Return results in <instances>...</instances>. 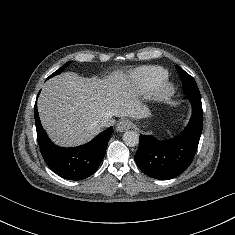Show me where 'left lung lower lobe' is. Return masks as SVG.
<instances>
[{
  "label": "left lung lower lobe",
  "instance_id": "0a47b994",
  "mask_svg": "<svg viewBox=\"0 0 235 235\" xmlns=\"http://www.w3.org/2000/svg\"><path fill=\"white\" fill-rule=\"evenodd\" d=\"M185 99L192 105V116L181 135L159 141L153 136L141 135L134 156L138 167L148 176L168 180L184 172L196 153L203 125L201 95L195 94L189 81L183 82Z\"/></svg>",
  "mask_w": 235,
  "mask_h": 235
}]
</instances>
